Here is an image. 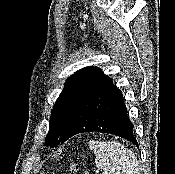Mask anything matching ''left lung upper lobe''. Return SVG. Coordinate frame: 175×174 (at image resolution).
<instances>
[{
    "mask_svg": "<svg viewBox=\"0 0 175 174\" xmlns=\"http://www.w3.org/2000/svg\"><path fill=\"white\" fill-rule=\"evenodd\" d=\"M108 78L100 68L94 66L83 68L68 78L51 112L46 146L53 148L62 143L69 119L79 101Z\"/></svg>",
    "mask_w": 175,
    "mask_h": 174,
    "instance_id": "obj_1",
    "label": "left lung upper lobe"
}]
</instances>
